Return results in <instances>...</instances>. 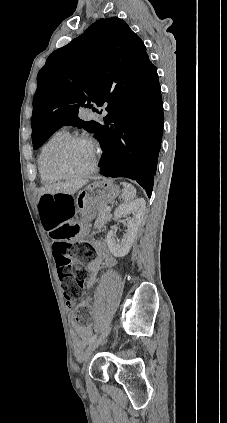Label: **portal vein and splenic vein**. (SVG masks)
<instances>
[{
	"mask_svg": "<svg viewBox=\"0 0 227 423\" xmlns=\"http://www.w3.org/2000/svg\"><path fill=\"white\" fill-rule=\"evenodd\" d=\"M106 211H111V208H106Z\"/></svg>",
	"mask_w": 227,
	"mask_h": 423,
	"instance_id": "portal-vein-and-splenic-vein-1",
	"label": "portal vein and splenic vein"
}]
</instances>
